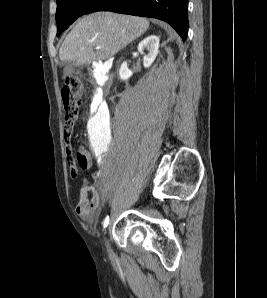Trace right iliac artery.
Masks as SVG:
<instances>
[{"mask_svg":"<svg viewBox=\"0 0 267 298\" xmlns=\"http://www.w3.org/2000/svg\"><path fill=\"white\" fill-rule=\"evenodd\" d=\"M108 223H109V216H107L102 222L103 229H106V227L108 226Z\"/></svg>","mask_w":267,"mask_h":298,"instance_id":"right-iliac-artery-1","label":"right iliac artery"}]
</instances>
